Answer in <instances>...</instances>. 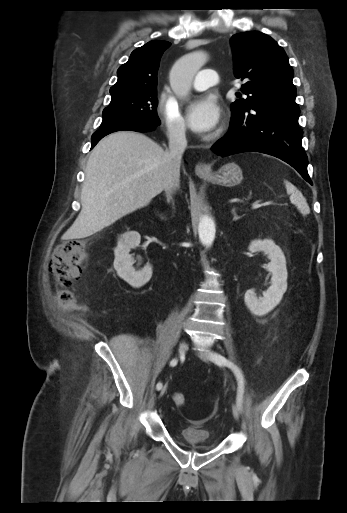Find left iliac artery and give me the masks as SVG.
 <instances>
[{"instance_id": "1", "label": "left iliac artery", "mask_w": 347, "mask_h": 513, "mask_svg": "<svg viewBox=\"0 0 347 513\" xmlns=\"http://www.w3.org/2000/svg\"><path fill=\"white\" fill-rule=\"evenodd\" d=\"M211 360L219 366L229 367L235 374L238 380V392H237V406L242 411L243 393H244V377L241 370L231 361L227 360L224 356L218 353H211Z\"/></svg>"}]
</instances>
